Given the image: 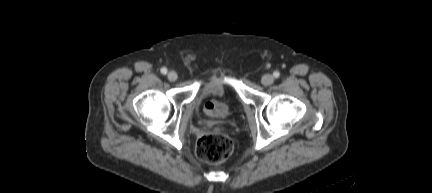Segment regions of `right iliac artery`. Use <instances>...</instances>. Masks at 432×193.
Returning a JSON list of instances; mask_svg holds the SVG:
<instances>
[{"mask_svg": "<svg viewBox=\"0 0 432 193\" xmlns=\"http://www.w3.org/2000/svg\"><path fill=\"white\" fill-rule=\"evenodd\" d=\"M161 73L162 74H166L167 73V68H165V67L161 68Z\"/></svg>", "mask_w": 432, "mask_h": 193, "instance_id": "right-iliac-artery-1", "label": "right iliac artery"}]
</instances>
